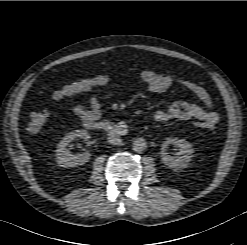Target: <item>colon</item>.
Listing matches in <instances>:
<instances>
[{
  "mask_svg": "<svg viewBox=\"0 0 247 245\" xmlns=\"http://www.w3.org/2000/svg\"><path fill=\"white\" fill-rule=\"evenodd\" d=\"M111 83L112 77L110 74L99 72L61 86L54 91L53 97L57 100L69 98L95 89L108 87ZM46 121L47 112L45 110L32 111L30 113V121L28 124L29 131L38 132L43 128ZM194 126L207 131H211L215 128V125L205 121H196Z\"/></svg>",
  "mask_w": 247,
  "mask_h": 245,
  "instance_id": "1",
  "label": "colon"
}]
</instances>
